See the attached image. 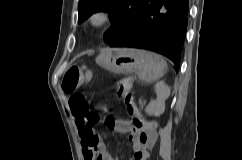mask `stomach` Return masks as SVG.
Instances as JSON below:
<instances>
[{
	"label": "stomach",
	"instance_id": "0dacf381",
	"mask_svg": "<svg viewBox=\"0 0 242 160\" xmlns=\"http://www.w3.org/2000/svg\"><path fill=\"white\" fill-rule=\"evenodd\" d=\"M154 55L145 50L114 48L101 52L96 58V63L116 74L137 73L145 82H151L156 73L151 68L155 60Z\"/></svg>",
	"mask_w": 242,
	"mask_h": 160
}]
</instances>
